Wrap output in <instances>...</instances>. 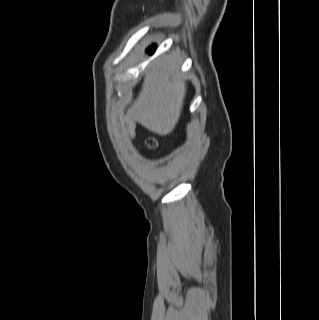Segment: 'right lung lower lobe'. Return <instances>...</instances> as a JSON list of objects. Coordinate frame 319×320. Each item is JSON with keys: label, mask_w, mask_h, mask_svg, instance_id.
I'll return each mask as SVG.
<instances>
[{"label": "right lung lower lobe", "mask_w": 319, "mask_h": 320, "mask_svg": "<svg viewBox=\"0 0 319 320\" xmlns=\"http://www.w3.org/2000/svg\"><path fill=\"white\" fill-rule=\"evenodd\" d=\"M149 52H150V53H153V48H150Z\"/></svg>", "instance_id": "98d812e1"}]
</instances>
